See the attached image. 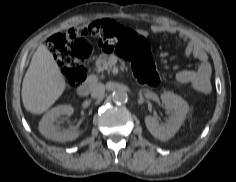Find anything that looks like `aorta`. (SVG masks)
Instances as JSON below:
<instances>
[{"label": "aorta", "mask_w": 236, "mask_h": 182, "mask_svg": "<svg viewBox=\"0 0 236 182\" xmlns=\"http://www.w3.org/2000/svg\"><path fill=\"white\" fill-rule=\"evenodd\" d=\"M112 99L116 104H124L127 102L128 95L123 90H116L112 94Z\"/></svg>", "instance_id": "762f6f07"}]
</instances>
